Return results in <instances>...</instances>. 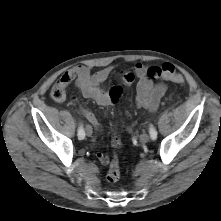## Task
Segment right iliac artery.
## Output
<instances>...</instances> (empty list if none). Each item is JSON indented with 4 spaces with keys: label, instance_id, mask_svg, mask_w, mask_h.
Returning a JSON list of instances; mask_svg holds the SVG:
<instances>
[{
    "label": "right iliac artery",
    "instance_id": "right-iliac-artery-1",
    "mask_svg": "<svg viewBox=\"0 0 221 221\" xmlns=\"http://www.w3.org/2000/svg\"><path fill=\"white\" fill-rule=\"evenodd\" d=\"M85 137V132H84V129L82 126H80L78 128V138L81 140V139H84Z\"/></svg>",
    "mask_w": 221,
    "mask_h": 221
}]
</instances>
